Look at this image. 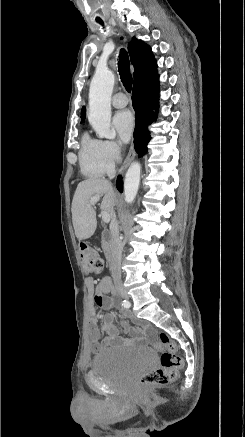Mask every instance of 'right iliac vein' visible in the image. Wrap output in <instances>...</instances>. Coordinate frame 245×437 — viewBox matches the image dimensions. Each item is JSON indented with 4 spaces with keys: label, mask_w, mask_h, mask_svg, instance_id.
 <instances>
[{
    "label": "right iliac vein",
    "mask_w": 245,
    "mask_h": 437,
    "mask_svg": "<svg viewBox=\"0 0 245 437\" xmlns=\"http://www.w3.org/2000/svg\"><path fill=\"white\" fill-rule=\"evenodd\" d=\"M119 294H120L122 297H124V298H128V297H129L127 291L124 290V289L119 290Z\"/></svg>",
    "instance_id": "obj_1"
}]
</instances>
